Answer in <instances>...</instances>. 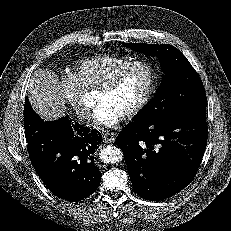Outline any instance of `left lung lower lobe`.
I'll use <instances>...</instances> for the list:
<instances>
[{
	"mask_svg": "<svg viewBox=\"0 0 231 231\" xmlns=\"http://www.w3.org/2000/svg\"><path fill=\"white\" fill-rule=\"evenodd\" d=\"M208 138L206 109L160 122H131L116 138L132 185L143 199L159 201L195 177Z\"/></svg>",
	"mask_w": 231,
	"mask_h": 231,
	"instance_id": "0a47b994",
	"label": "left lung lower lobe"
}]
</instances>
